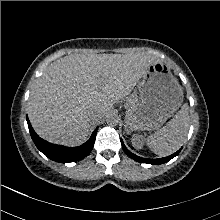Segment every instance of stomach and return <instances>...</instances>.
I'll return each mask as SVG.
<instances>
[{"label": "stomach", "instance_id": "stomach-1", "mask_svg": "<svg viewBox=\"0 0 220 220\" xmlns=\"http://www.w3.org/2000/svg\"><path fill=\"white\" fill-rule=\"evenodd\" d=\"M140 98L126 108L125 121L131 130H155L181 106L183 90L162 62L151 64L139 83Z\"/></svg>", "mask_w": 220, "mask_h": 220}]
</instances>
